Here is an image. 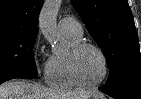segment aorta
Masks as SVG:
<instances>
[{
    "label": "aorta",
    "instance_id": "aorta-1",
    "mask_svg": "<svg viewBox=\"0 0 141 99\" xmlns=\"http://www.w3.org/2000/svg\"><path fill=\"white\" fill-rule=\"evenodd\" d=\"M60 4V0H47L39 15V29L45 39L54 47H58L60 39L56 22Z\"/></svg>",
    "mask_w": 141,
    "mask_h": 99
}]
</instances>
